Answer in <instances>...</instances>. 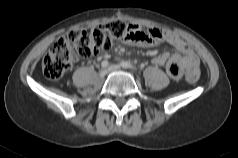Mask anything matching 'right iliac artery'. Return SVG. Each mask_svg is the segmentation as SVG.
I'll return each instance as SVG.
<instances>
[{
	"label": "right iliac artery",
	"mask_w": 238,
	"mask_h": 158,
	"mask_svg": "<svg viewBox=\"0 0 238 158\" xmlns=\"http://www.w3.org/2000/svg\"><path fill=\"white\" fill-rule=\"evenodd\" d=\"M108 65H109V63H108V61H106V60H104V61L101 63V66H102L103 68H107Z\"/></svg>",
	"instance_id": "right-iliac-artery-1"
}]
</instances>
